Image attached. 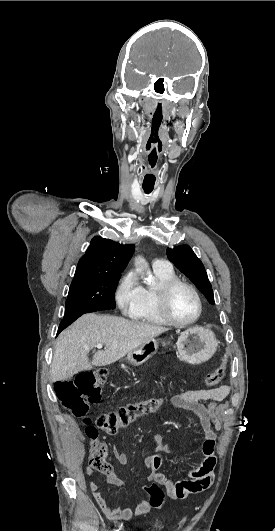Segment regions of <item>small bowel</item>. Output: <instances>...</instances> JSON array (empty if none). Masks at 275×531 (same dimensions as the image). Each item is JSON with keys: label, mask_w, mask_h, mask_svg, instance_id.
<instances>
[{"label": "small bowel", "mask_w": 275, "mask_h": 531, "mask_svg": "<svg viewBox=\"0 0 275 531\" xmlns=\"http://www.w3.org/2000/svg\"><path fill=\"white\" fill-rule=\"evenodd\" d=\"M231 388L228 385H221L212 389H195L183 390L174 394L171 398V405L175 409L188 410L195 413L200 421L204 432V437L200 445V451L203 455L200 466L195 470L191 478L173 482L159 471L161 465V454L172 452L175 445L164 443L159 433L153 435L155 454L148 455L144 458V466L149 472V476L159 485L165 487L167 495L172 500H184L191 494L200 493L210 487L214 480V470L217 463L216 433L222 427L221 422V405L220 401L226 399L230 394ZM113 455L116 461L122 465L126 464L129 457L117 447H113ZM85 473L91 476L95 473L92 467L87 466ZM107 483L111 486L122 487L123 481L118 475L111 471L106 476ZM92 495L107 518L111 520H130L147 514L151 507L147 501L139 500L135 509L123 506H114L101 490L96 482L89 484Z\"/></svg>", "instance_id": "1"}]
</instances>
